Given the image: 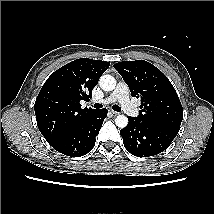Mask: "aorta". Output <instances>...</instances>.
I'll list each match as a JSON object with an SVG mask.
<instances>
[{
    "label": "aorta",
    "mask_w": 214,
    "mask_h": 214,
    "mask_svg": "<svg viewBox=\"0 0 214 214\" xmlns=\"http://www.w3.org/2000/svg\"><path fill=\"white\" fill-rule=\"evenodd\" d=\"M99 85L104 91H112L116 87V80L111 75H102L99 79ZM115 124L119 128H125L128 125V118L125 115H118L115 118Z\"/></svg>",
    "instance_id": "762f6f07"
}]
</instances>
